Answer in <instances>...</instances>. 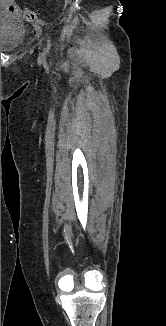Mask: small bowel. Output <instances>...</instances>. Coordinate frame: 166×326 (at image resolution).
Returning <instances> with one entry per match:
<instances>
[{"label":"small bowel","mask_w":166,"mask_h":326,"mask_svg":"<svg viewBox=\"0 0 166 326\" xmlns=\"http://www.w3.org/2000/svg\"><path fill=\"white\" fill-rule=\"evenodd\" d=\"M1 9L9 10L17 15L22 13L21 8L18 6L15 0H1Z\"/></svg>","instance_id":"small-bowel-1"}]
</instances>
